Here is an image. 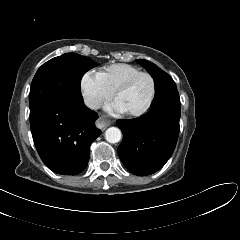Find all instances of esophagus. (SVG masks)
<instances>
[{
  "label": "esophagus",
  "mask_w": 240,
  "mask_h": 240,
  "mask_svg": "<svg viewBox=\"0 0 240 240\" xmlns=\"http://www.w3.org/2000/svg\"><path fill=\"white\" fill-rule=\"evenodd\" d=\"M110 120L106 117H99L96 121V125L101 130H105L110 125Z\"/></svg>",
  "instance_id": "esophagus-1"
}]
</instances>
